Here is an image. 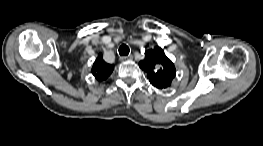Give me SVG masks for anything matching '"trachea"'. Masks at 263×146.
I'll return each mask as SVG.
<instances>
[{
    "label": "trachea",
    "instance_id": "trachea-1",
    "mask_svg": "<svg viewBox=\"0 0 263 146\" xmlns=\"http://www.w3.org/2000/svg\"><path fill=\"white\" fill-rule=\"evenodd\" d=\"M118 51L121 56H127L130 52V49L127 45H121Z\"/></svg>",
    "mask_w": 263,
    "mask_h": 146
}]
</instances>
